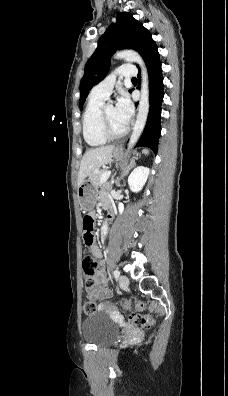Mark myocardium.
Returning a JSON list of instances; mask_svg holds the SVG:
<instances>
[{
  "label": "myocardium",
  "mask_w": 228,
  "mask_h": 396,
  "mask_svg": "<svg viewBox=\"0 0 228 396\" xmlns=\"http://www.w3.org/2000/svg\"><path fill=\"white\" fill-rule=\"evenodd\" d=\"M108 104H104L101 111H100V128H101V132L104 135V137H106L107 139H119L124 137L128 131L129 128L127 126H125V128L120 131V132H114L109 124H108V120H107V115H106V108H107Z\"/></svg>",
  "instance_id": "obj_1"
}]
</instances>
